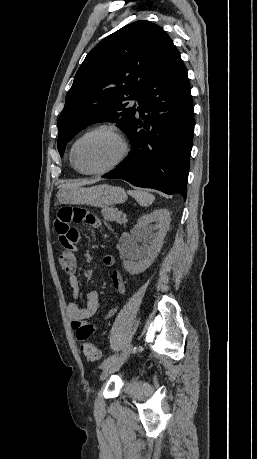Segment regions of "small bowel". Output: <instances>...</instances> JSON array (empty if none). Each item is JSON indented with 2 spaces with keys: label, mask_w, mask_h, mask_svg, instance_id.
<instances>
[{
  "label": "small bowel",
  "mask_w": 257,
  "mask_h": 459,
  "mask_svg": "<svg viewBox=\"0 0 257 459\" xmlns=\"http://www.w3.org/2000/svg\"><path fill=\"white\" fill-rule=\"evenodd\" d=\"M53 224L55 231L60 236V246L63 251H80L81 237L77 232L78 226H86L87 229H101L103 225L102 221L96 217V208H92L91 205H59V211H56ZM103 264L106 267H113L115 265V258L112 255H106L103 258ZM111 280L116 292L123 296L126 292V286L121 273L113 271ZM68 283L71 288V295L76 299L80 294V285L77 276L75 274L69 275ZM98 308L99 295L95 290H90L86 294V304L84 307H80L75 302L67 305V314L77 340H86L99 328L100 323L87 321L96 313ZM117 309L118 305L113 306L105 318L113 315Z\"/></svg>",
  "instance_id": "c3829d8e"
}]
</instances>
